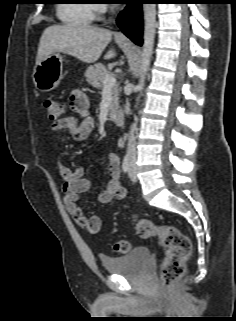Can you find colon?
Segmentation results:
<instances>
[{
  "label": "colon",
  "instance_id": "1",
  "mask_svg": "<svg viewBox=\"0 0 236 321\" xmlns=\"http://www.w3.org/2000/svg\"><path fill=\"white\" fill-rule=\"evenodd\" d=\"M44 107L47 116L52 120L58 119L62 113L61 103L55 99H46ZM132 222L138 237L155 238L165 248L159 274L163 286H170L184 272L185 262L192 250L189 238L176 227L159 226L137 215L132 216ZM130 249L131 243L127 240H119L114 244V250L118 253L126 254Z\"/></svg>",
  "mask_w": 236,
  "mask_h": 321
}]
</instances>
